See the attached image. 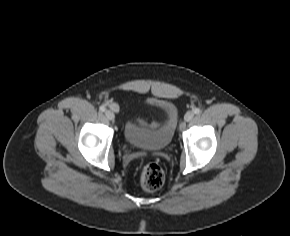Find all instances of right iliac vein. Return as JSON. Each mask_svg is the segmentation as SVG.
<instances>
[{
    "instance_id": "right-iliac-vein-1",
    "label": "right iliac vein",
    "mask_w": 290,
    "mask_h": 236,
    "mask_svg": "<svg viewBox=\"0 0 290 236\" xmlns=\"http://www.w3.org/2000/svg\"><path fill=\"white\" fill-rule=\"evenodd\" d=\"M105 116L108 120H114V118H115V115H114L113 111H111V110H106Z\"/></svg>"
}]
</instances>
